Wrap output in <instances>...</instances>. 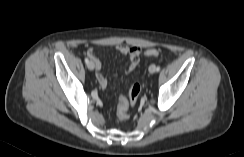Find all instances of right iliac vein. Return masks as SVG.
<instances>
[{
  "label": "right iliac vein",
  "mask_w": 244,
  "mask_h": 157,
  "mask_svg": "<svg viewBox=\"0 0 244 157\" xmlns=\"http://www.w3.org/2000/svg\"><path fill=\"white\" fill-rule=\"evenodd\" d=\"M87 67L89 70H94V64L91 61L87 64Z\"/></svg>",
  "instance_id": "right-iliac-vein-1"
}]
</instances>
